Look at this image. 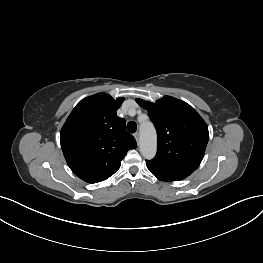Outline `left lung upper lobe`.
Wrapping results in <instances>:
<instances>
[{
  "label": "left lung upper lobe",
  "mask_w": 263,
  "mask_h": 263,
  "mask_svg": "<svg viewBox=\"0 0 263 263\" xmlns=\"http://www.w3.org/2000/svg\"><path fill=\"white\" fill-rule=\"evenodd\" d=\"M148 111L157 130V154L147 168L166 181H178L201 163L209 139L208 127L189 104L165 96L155 103L136 99Z\"/></svg>",
  "instance_id": "5c2ea615"
}]
</instances>
